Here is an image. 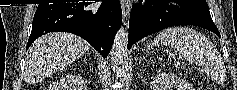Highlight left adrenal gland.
I'll use <instances>...</instances> for the list:
<instances>
[{
  "instance_id": "1",
  "label": "left adrenal gland",
  "mask_w": 237,
  "mask_h": 90,
  "mask_svg": "<svg viewBox=\"0 0 237 90\" xmlns=\"http://www.w3.org/2000/svg\"><path fill=\"white\" fill-rule=\"evenodd\" d=\"M139 60H145V58H139Z\"/></svg>"
}]
</instances>
